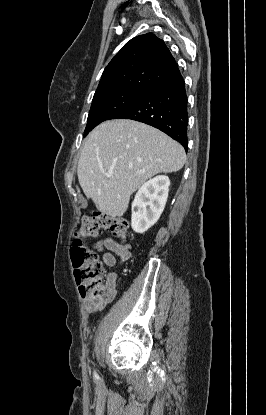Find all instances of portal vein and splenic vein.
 Returning <instances> with one entry per match:
<instances>
[{
  "label": "portal vein and splenic vein",
  "instance_id": "18ae733b",
  "mask_svg": "<svg viewBox=\"0 0 266 415\" xmlns=\"http://www.w3.org/2000/svg\"><path fill=\"white\" fill-rule=\"evenodd\" d=\"M107 177H112V173H106Z\"/></svg>",
  "mask_w": 266,
  "mask_h": 415
}]
</instances>
